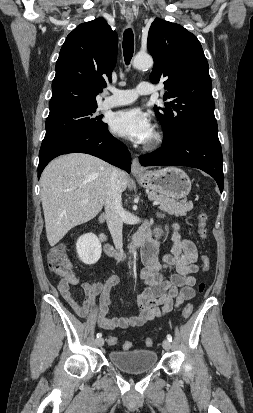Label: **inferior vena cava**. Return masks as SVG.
Listing matches in <instances>:
<instances>
[{
    "instance_id": "inferior-vena-cava-1",
    "label": "inferior vena cava",
    "mask_w": 253,
    "mask_h": 413,
    "mask_svg": "<svg viewBox=\"0 0 253 413\" xmlns=\"http://www.w3.org/2000/svg\"><path fill=\"white\" fill-rule=\"evenodd\" d=\"M119 180V170L112 167L107 181V196L105 200V214L107 225L112 236L115 248L122 249V199Z\"/></svg>"
}]
</instances>
